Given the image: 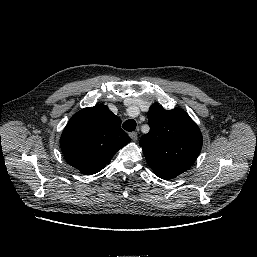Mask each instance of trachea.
Instances as JSON below:
<instances>
[{
	"label": "trachea",
	"mask_w": 257,
	"mask_h": 257,
	"mask_svg": "<svg viewBox=\"0 0 257 257\" xmlns=\"http://www.w3.org/2000/svg\"><path fill=\"white\" fill-rule=\"evenodd\" d=\"M123 129L128 131V132H132L136 129V122L135 120L129 119L126 120L123 125H122Z\"/></svg>",
	"instance_id": "1"
}]
</instances>
